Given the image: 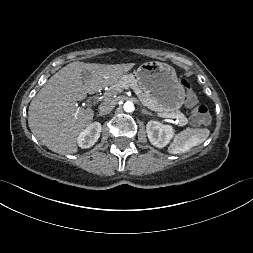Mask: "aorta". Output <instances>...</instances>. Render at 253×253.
<instances>
[{"label": "aorta", "mask_w": 253, "mask_h": 253, "mask_svg": "<svg viewBox=\"0 0 253 253\" xmlns=\"http://www.w3.org/2000/svg\"><path fill=\"white\" fill-rule=\"evenodd\" d=\"M123 108H124V110H125L126 112H132V111L134 110V105H133L132 102L127 101V102L124 103Z\"/></svg>", "instance_id": "aorta-1"}]
</instances>
